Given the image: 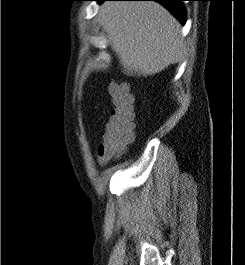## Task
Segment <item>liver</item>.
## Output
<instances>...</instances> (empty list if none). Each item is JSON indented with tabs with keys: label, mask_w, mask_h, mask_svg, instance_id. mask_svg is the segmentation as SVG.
<instances>
[{
	"label": "liver",
	"mask_w": 245,
	"mask_h": 265,
	"mask_svg": "<svg viewBox=\"0 0 245 265\" xmlns=\"http://www.w3.org/2000/svg\"><path fill=\"white\" fill-rule=\"evenodd\" d=\"M98 18L130 75H154L183 57L181 24L159 3L106 1Z\"/></svg>",
	"instance_id": "1"
}]
</instances>
